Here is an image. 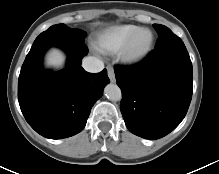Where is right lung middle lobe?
<instances>
[{"label":"right lung middle lobe","instance_id":"dd1d6c3e","mask_svg":"<svg viewBox=\"0 0 219 174\" xmlns=\"http://www.w3.org/2000/svg\"><path fill=\"white\" fill-rule=\"evenodd\" d=\"M86 36V32L80 29H72L65 24L53 25L35 39L30 51L50 44L84 43Z\"/></svg>","mask_w":219,"mask_h":174}]
</instances>
